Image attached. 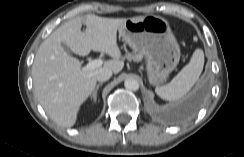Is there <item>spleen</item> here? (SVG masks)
I'll return each mask as SVG.
<instances>
[{"label":"spleen","instance_id":"1","mask_svg":"<svg viewBox=\"0 0 244 157\" xmlns=\"http://www.w3.org/2000/svg\"><path fill=\"white\" fill-rule=\"evenodd\" d=\"M204 66V52L202 49H196L190 59V62L164 86L155 88L159 97L168 101L181 99L196 83L201 75Z\"/></svg>","mask_w":244,"mask_h":157}]
</instances>
